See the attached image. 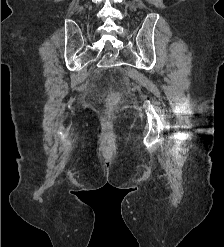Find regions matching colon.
<instances>
[{
	"instance_id": "1",
	"label": "colon",
	"mask_w": 224,
	"mask_h": 247,
	"mask_svg": "<svg viewBox=\"0 0 224 247\" xmlns=\"http://www.w3.org/2000/svg\"><path fill=\"white\" fill-rule=\"evenodd\" d=\"M111 99H112V101H114V100L116 99V97H115V96H112V98H111Z\"/></svg>"
}]
</instances>
